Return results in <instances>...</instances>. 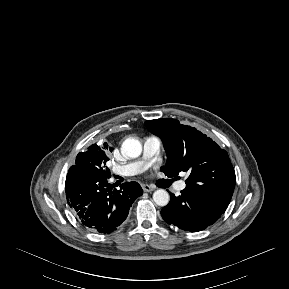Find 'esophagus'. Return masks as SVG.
Segmentation results:
<instances>
[{
  "instance_id": "esophagus-1",
  "label": "esophagus",
  "mask_w": 289,
  "mask_h": 289,
  "mask_svg": "<svg viewBox=\"0 0 289 289\" xmlns=\"http://www.w3.org/2000/svg\"><path fill=\"white\" fill-rule=\"evenodd\" d=\"M142 189L145 191V192H151L155 189V187H153L152 185H148V184H143L142 185Z\"/></svg>"
}]
</instances>
